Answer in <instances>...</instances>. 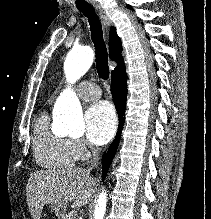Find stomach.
<instances>
[{"label":"stomach","mask_w":211,"mask_h":219,"mask_svg":"<svg viewBox=\"0 0 211 219\" xmlns=\"http://www.w3.org/2000/svg\"><path fill=\"white\" fill-rule=\"evenodd\" d=\"M50 207H51L52 212H54L56 216L58 217H62L65 213V209L62 206L51 205Z\"/></svg>","instance_id":"0dacf381"}]
</instances>
